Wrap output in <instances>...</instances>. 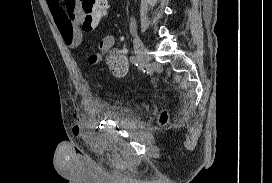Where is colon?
I'll return each instance as SVG.
<instances>
[{
  "label": "colon",
  "instance_id": "1",
  "mask_svg": "<svg viewBox=\"0 0 272 183\" xmlns=\"http://www.w3.org/2000/svg\"><path fill=\"white\" fill-rule=\"evenodd\" d=\"M68 20L73 21L77 13L80 18V26L84 31L93 30L105 17L107 11V0H68ZM95 57L90 59L94 63ZM165 122V116L161 117Z\"/></svg>",
  "mask_w": 272,
  "mask_h": 183
}]
</instances>
